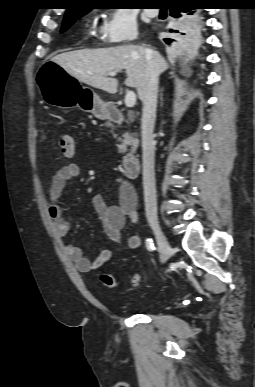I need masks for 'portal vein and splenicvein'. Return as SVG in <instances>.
<instances>
[{
  "label": "portal vein and splenic vein",
  "mask_w": 255,
  "mask_h": 387,
  "mask_svg": "<svg viewBox=\"0 0 255 387\" xmlns=\"http://www.w3.org/2000/svg\"><path fill=\"white\" fill-rule=\"evenodd\" d=\"M108 75L113 77L116 75V72H110L108 73ZM135 103H136V95L133 91H129L125 97V105L128 108H132L134 107Z\"/></svg>",
  "instance_id": "obj_1"
}]
</instances>
